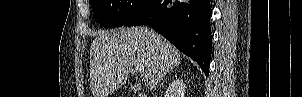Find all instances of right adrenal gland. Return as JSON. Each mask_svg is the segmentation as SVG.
Wrapping results in <instances>:
<instances>
[{
    "mask_svg": "<svg viewBox=\"0 0 302 97\" xmlns=\"http://www.w3.org/2000/svg\"><path fill=\"white\" fill-rule=\"evenodd\" d=\"M173 71H174V70H173V69H171V70L169 71V73H168V74H171Z\"/></svg>",
    "mask_w": 302,
    "mask_h": 97,
    "instance_id": "2a0ac1e0",
    "label": "right adrenal gland"
}]
</instances>
